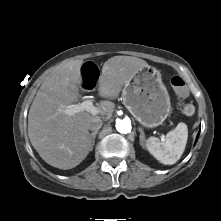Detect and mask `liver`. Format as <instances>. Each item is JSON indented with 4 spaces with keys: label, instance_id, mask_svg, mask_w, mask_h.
Wrapping results in <instances>:
<instances>
[{
    "label": "liver",
    "instance_id": "6515ba94",
    "mask_svg": "<svg viewBox=\"0 0 221 221\" xmlns=\"http://www.w3.org/2000/svg\"><path fill=\"white\" fill-rule=\"evenodd\" d=\"M82 60L70 62L48 77L38 90L28 115V136L40 157L49 165L67 170L79 165L93 149L88 124L100 116L82 111L68 115L65 110L79 100ZM148 63L131 56L108 59L98 81L100 96L116 99L122 87ZM83 91H88L82 89ZM115 104L102 101L99 112L110 115Z\"/></svg>",
    "mask_w": 221,
    "mask_h": 221
}]
</instances>
